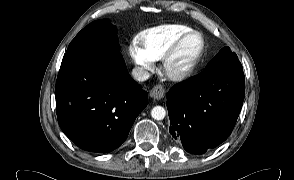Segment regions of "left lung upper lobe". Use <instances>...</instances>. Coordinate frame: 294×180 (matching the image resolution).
<instances>
[{
    "instance_id": "obj_1",
    "label": "left lung upper lobe",
    "mask_w": 294,
    "mask_h": 180,
    "mask_svg": "<svg viewBox=\"0 0 294 180\" xmlns=\"http://www.w3.org/2000/svg\"><path fill=\"white\" fill-rule=\"evenodd\" d=\"M221 69H242V65L234 52L229 47H224L219 53L207 64L205 69L196 78L203 79L215 71Z\"/></svg>"
}]
</instances>
